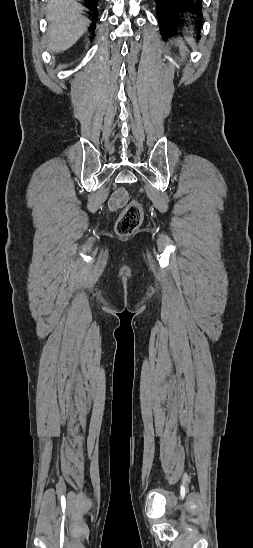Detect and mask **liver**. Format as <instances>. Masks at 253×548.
<instances>
[{"instance_id": "obj_1", "label": "liver", "mask_w": 253, "mask_h": 548, "mask_svg": "<svg viewBox=\"0 0 253 548\" xmlns=\"http://www.w3.org/2000/svg\"><path fill=\"white\" fill-rule=\"evenodd\" d=\"M84 7L74 0H50L46 18L50 52H63L73 46L90 25V20L81 15Z\"/></svg>"}]
</instances>
